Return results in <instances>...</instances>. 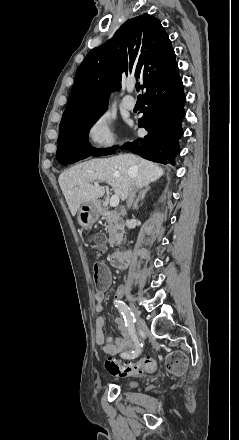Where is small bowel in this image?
I'll return each instance as SVG.
<instances>
[{
	"mask_svg": "<svg viewBox=\"0 0 239 440\" xmlns=\"http://www.w3.org/2000/svg\"><path fill=\"white\" fill-rule=\"evenodd\" d=\"M106 267V266H105ZM108 280H109V270L106 267ZM108 284V282H107ZM107 284L103 287L105 288ZM105 300V295L103 291H99L94 296L95 301V310L98 313L103 311V304ZM117 330L119 333V337L113 340L110 337H107L104 332V324L105 320L102 316H98L95 320V328H96V342L99 346H101L102 350L109 355L116 354H126L133 347V342L131 340V335L129 333L128 328L125 325V321L122 317H117L115 319Z\"/></svg>",
	"mask_w": 239,
	"mask_h": 440,
	"instance_id": "obj_1",
	"label": "small bowel"
}]
</instances>
